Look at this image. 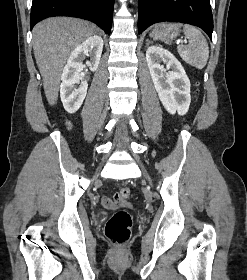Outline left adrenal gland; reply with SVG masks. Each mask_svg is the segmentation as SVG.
Instances as JSON below:
<instances>
[{"label":"left adrenal gland","instance_id":"obj_1","mask_svg":"<svg viewBox=\"0 0 247 280\" xmlns=\"http://www.w3.org/2000/svg\"><path fill=\"white\" fill-rule=\"evenodd\" d=\"M146 42H147L146 45H148L149 41L147 40Z\"/></svg>","mask_w":247,"mask_h":280}]
</instances>
